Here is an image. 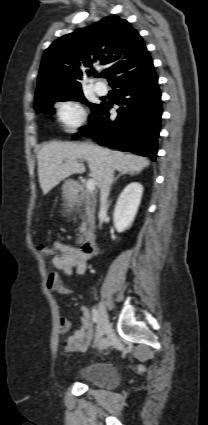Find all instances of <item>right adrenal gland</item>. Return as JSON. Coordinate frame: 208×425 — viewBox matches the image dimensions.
<instances>
[{"instance_id":"1","label":"right adrenal gland","mask_w":208,"mask_h":425,"mask_svg":"<svg viewBox=\"0 0 208 425\" xmlns=\"http://www.w3.org/2000/svg\"><path fill=\"white\" fill-rule=\"evenodd\" d=\"M125 174H126L125 172H121V173H119V174L117 175V177L114 179V182H116L120 176L125 175ZM129 175H130V176H134V175H135V173H129Z\"/></svg>"}]
</instances>
